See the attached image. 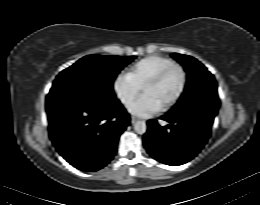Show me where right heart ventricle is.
Segmentation results:
<instances>
[{"label": "right heart ventricle", "mask_w": 260, "mask_h": 205, "mask_svg": "<svg viewBox=\"0 0 260 205\" xmlns=\"http://www.w3.org/2000/svg\"><path fill=\"white\" fill-rule=\"evenodd\" d=\"M175 64L177 63L171 59L155 57L140 63L136 71L130 75V78L137 80L138 82H143L149 77L151 73L156 72L158 74L162 70Z\"/></svg>", "instance_id": "1"}]
</instances>
